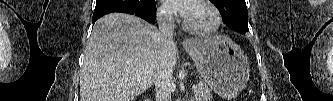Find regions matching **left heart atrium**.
Returning a JSON list of instances; mask_svg holds the SVG:
<instances>
[{
	"instance_id": "1",
	"label": "left heart atrium",
	"mask_w": 333,
	"mask_h": 101,
	"mask_svg": "<svg viewBox=\"0 0 333 101\" xmlns=\"http://www.w3.org/2000/svg\"><path fill=\"white\" fill-rule=\"evenodd\" d=\"M165 3L168 7L182 16L187 15L191 5V2L187 0H166Z\"/></svg>"
}]
</instances>
